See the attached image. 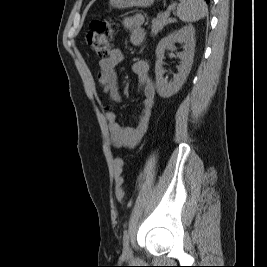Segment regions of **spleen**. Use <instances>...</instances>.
<instances>
[{
    "label": "spleen",
    "mask_w": 267,
    "mask_h": 267,
    "mask_svg": "<svg viewBox=\"0 0 267 267\" xmlns=\"http://www.w3.org/2000/svg\"><path fill=\"white\" fill-rule=\"evenodd\" d=\"M177 16L183 22H195L204 18L208 8L204 0H179Z\"/></svg>",
    "instance_id": "obj_1"
}]
</instances>
